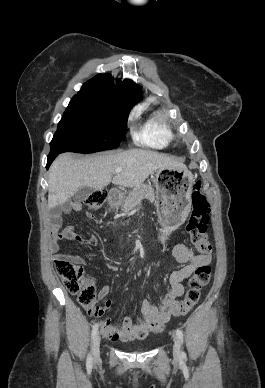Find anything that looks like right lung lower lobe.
Returning a JSON list of instances; mask_svg holds the SVG:
<instances>
[{"label":"right lung lower lobe","mask_w":265,"mask_h":388,"mask_svg":"<svg viewBox=\"0 0 265 388\" xmlns=\"http://www.w3.org/2000/svg\"><path fill=\"white\" fill-rule=\"evenodd\" d=\"M58 154H49L46 168L48 169L52 161L56 158Z\"/></svg>","instance_id":"1"}]
</instances>
